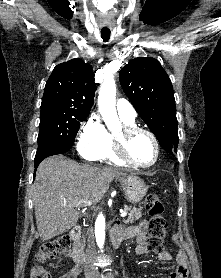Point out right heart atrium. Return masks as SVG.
<instances>
[{"instance_id":"1","label":"right heart atrium","mask_w":221,"mask_h":278,"mask_svg":"<svg viewBox=\"0 0 221 278\" xmlns=\"http://www.w3.org/2000/svg\"><path fill=\"white\" fill-rule=\"evenodd\" d=\"M109 133L97 114L89 115L77 136V150L87 161L99 160L109 143Z\"/></svg>"}]
</instances>
